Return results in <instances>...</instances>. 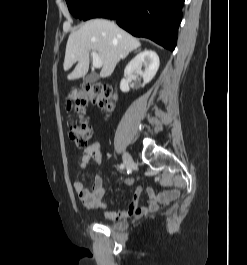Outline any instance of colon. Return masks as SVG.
<instances>
[{"label":"colon","mask_w":247,"mask_h":265,"mask_svg":"<svg viewBox=\"0 0 247 265\" xmlns=\"http://www.w3.org/2000/svg\"><path fill=\"white\" fill-rule=\"evenodd\" d=\"M88 102L110 108L113 102V93L109 88L103 86L88 87L82 91L71 93L67 109L69 112L75 113L77 118L69 122L68 133L78 148L87 147L92 136L91 126L84 118V111Z\"/></svg>","instance_id":"5ec220e1"}]
</instances>
